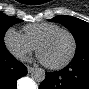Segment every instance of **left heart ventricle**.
Returning a JSON list of instances; mask_svg holds the SVG:
<instances>
[{
  "mask_svg": "<svg viewBox=\"0 0 89 89\" xmlns=\"http://www.w3.org/2000/svg\"><path fill=\"white\" fill-rule=\"evenodd\" d=\"M72 42L65 33H59L44 43L39 50V54L48 64H59L70 54Z\"/></svg>",
  "mask_w": 89,
  "mask_h": 89,
  "instance_id": "left-heart-ventricle-1",
  "label": "left heart ventricle"
}]
</instances>
